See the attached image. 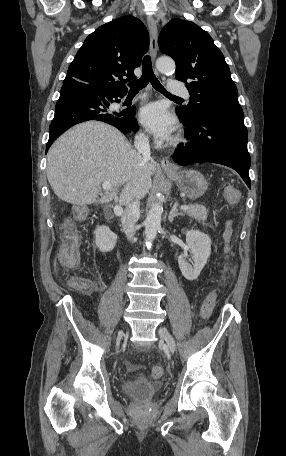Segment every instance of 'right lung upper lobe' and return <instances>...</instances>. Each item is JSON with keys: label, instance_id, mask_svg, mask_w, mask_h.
Here are the masks:
<instances>
[{"label": "right lung upper lobe", "instance_id": "1", "mask_svg": "<svg viewBox=\"0 0 286 456\" xmlns=\"http://www.w3.org/2000/svg\"><path fill=\"white\" fill-rule=\"evenodd\" d=\"M148 47L149 34L139 19L126 15L108 22L86 38L63 83H82L112 97L125 95L124 83L136 79L133 71Z\"/></svg>", "mask_w": 286, "mask_h": 456}]
</instances>
